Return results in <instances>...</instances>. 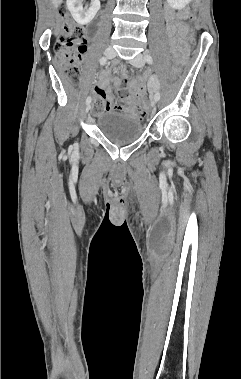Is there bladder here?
I'll return each instance as SVG.
<instances>
[{
    "mask_svg": "<svg viewBox=\"0 0 241 379\" xmlns=\"http://www.w3.org/2000/svg\"><path fill=\"white\" fill-rule=\"evenodd\" d=\"M97 127L108 141L119 145L136 141L143 132L139 118L114 110L101 113Z\"/></svg>",
    "mask_w": 241,
    "mask_h": 379,
    "instance_id": "1",
    "label": "bladder"
}]
</instances>
